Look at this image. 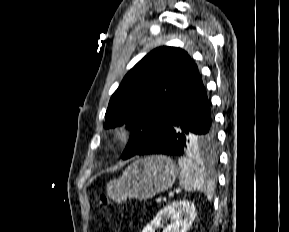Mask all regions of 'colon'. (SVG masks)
<instances>
[{
	"label": "colon",
	"mask_w": 289,
	"mask_h": 232,
	"mask_svg": "<svg viewBox=\"0 0 289 232\" xmlns=\"http://www.w3.org/2000/svg\"><path fill=\"white\" fill-rule=\"evenodd\" d=\"M101 202H102L103 206L106 208L111 206V200L107 195L101 196Z\"/></svg>",
	"instance_id": "obj_1"
}]
</instances>
